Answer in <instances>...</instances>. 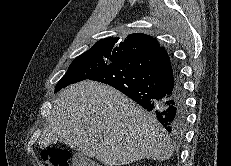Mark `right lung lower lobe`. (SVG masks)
Listing matches in <instances>:
<instances>
[{"mask_svg": "<svg viewBox=\"0 0 231 166\" xmlns=\"http://www.w3.org/2000/svg\"><path fill=\"white\" fill-rule=\"evenodd\" d=\"M88 79L108 84L152 111L170 134H183L186 104L182 78L165 48L118 60Z\"/></svg>", "mask_w": 231, "mask_h": 166, "instance_id": "1", "label": "right lung lower lobe"}]
</instances>
